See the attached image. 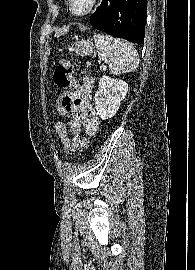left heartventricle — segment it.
Segmentation results:
<instances>
[{"label": "left heart ventricle", "mask_w": 195, "mask_h": 270, "mask_svg": "<svg viewBox=\"0 0 195 270\" xmlns=\"http://www.w3.org/2000/svg\"><path fill=\"white\" fill-rule=\"evenodd\" d=\"M91 3V0H72L71 6L75 12H83Z\"/></svg>", "instance_id": "1"}]
</instances>
